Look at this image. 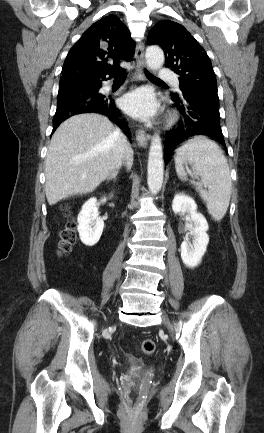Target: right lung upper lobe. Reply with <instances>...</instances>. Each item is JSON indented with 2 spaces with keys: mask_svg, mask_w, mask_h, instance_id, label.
<instances>
[{
  "mask_svg": "<svg viewBox=\"0 0 264 433\" xmlns=\"http://www.w3.org/2000/svg\"><path fill=\"white\" fill-rule=\"evenodd\" d=\"M134 51L135 42L128 28L117 16L108 15L95 22L71 48L59 87L98 80L106 75L113 77L122 71L118 61H129Z\"/></svg>",
  "mask_w": 264,
  "mask_h": 433,
  "instance_id": "obj_1",
  "label": "right lung upper lobe"
}]
</instances>
